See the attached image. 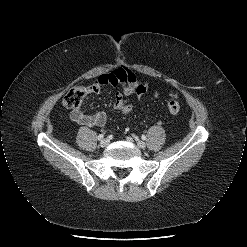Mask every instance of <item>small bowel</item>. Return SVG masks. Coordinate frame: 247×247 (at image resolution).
<instances>
[{"label": "small bowel", "instance_id": "small-bowel-1", "mask_svg": "<svg viewBox=\"0 0 247 247\" xmlns=\"http://www.w3.org/2000/svg\"><path fill=\"white\" fill-rule=\"evenodd\" d=\"M120 86L122 91L127 96L139 97L148 89H151L153 96L158 97V92L155 88L150 87L146 83H142L137 75L127 68H116L110 73L102 74L98 77L94 84V91L101 93L104 86ZM70 117L76 123L87 127H101L106 124L107 116L104 112L99 111L88 115L80 110L72 111Z\"/></svg>", "mask_w": 247, "mask_h": 247}]
</instances>
